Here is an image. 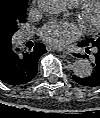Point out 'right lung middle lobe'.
Masks as SVG:
<instances>
[{
  "label": "right lung middle lobe",
  "instance_id": "obj_1",
  "mask_svg": "<svg viewBox=\"0 0 100 118\" xmlns=\"http://www.w3.org/2000/svg\"><path fill=\"white\" fill-rule=\"evenodd\" d=\"M26 6H27V3H23V4H18L14 7L13 16L15 17L16 21L13 23H10L9 25V32L11 36L17 31V26L20 23H25Z\"/></svg>",
  "mask_w": 100,
  "mask_h": 118
}]
</instances>
